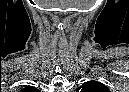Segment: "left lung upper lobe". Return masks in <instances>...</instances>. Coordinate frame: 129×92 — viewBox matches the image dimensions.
Returning a JSON list of instances; mask_svg holds the SVG:
<instances>
[{"mask_svg":"<svg viewBox=\"0 0 129 92\" xmlns=\"http://www.w3.org/2000/svg\"><path fill=\"white\" fill-rule=\"evenodd\" d=\"M81 92H110V90L100 82L90 81L82 84L77 90Z\"/></svg>","mask_w":129,"mask_h":92,"instance_id":"5c2ea615","label":"left lung upper lobe"}]
</instances>
